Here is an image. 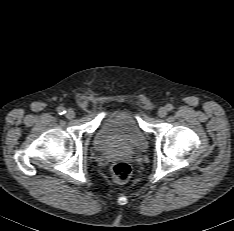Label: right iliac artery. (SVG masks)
Returning <instances> with one entry per match:
<instances>
[{"instance_id": "1", "label": "right iliac artery", "mask_w": 234, "mask_h": 231, "mask_svg": "<svg viewBox=\"0 0 234 231\" xmlns=\"http://www.w3.org/2000/svg\"><path fill=\"white\" fill-rule=\"evenodd\" d=\"M57 112H58V114H60V115H63L64 113H66V111H65V109H64L63 107H58V108H57Z\"/></svg>"}]
</instances>
